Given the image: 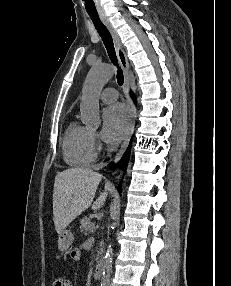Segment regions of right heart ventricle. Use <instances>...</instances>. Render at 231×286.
I'll use <instances>...</instances> for the list:
<instances>
[{
  "label": "right heart ventricle",
  "mask_w": 231,
  "mask_h": 286,
  "mask_svg": "<svg viewBox=\"0 0 231 286\" xmlns=\"http://www.w3.org/2000/svg\"><path fill=\"white\" fill-rule=\"evenodd\" d=\"M64 161L72 167H86L95 162L97 153L93 133L76 121H72L62 139Z\"/></svg>",
  "instance_id": "1"
}]
</instances>
